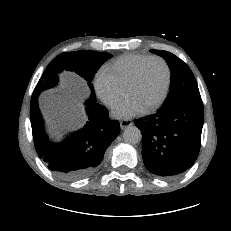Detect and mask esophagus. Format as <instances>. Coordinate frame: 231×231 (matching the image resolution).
Returning <instances> with one entry per match:
<instances>
[{
  "mask_svg": "<svg viewBox=\"0 0 231 231\" xmlns=\"http://www.w3.org/2000/svg\"><path fill=\"white\" fill-rule=\"evenodd\" d=\"M132 125V121L131 120H128V119H124V120H121L120 121V128L123 130V129H126L127 127L131 126Z\"/></svg>",
  "mask_w": 231,
  "mask_h": 231,
  "instance_id": "obj_1",
  "label": "esophagus"
}]
</instances>
